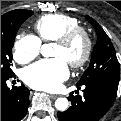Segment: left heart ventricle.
Returning a JSON list of instances; mask_svg holds the SVG:
<instances>
[{"label":"left heart ventricle","instance_id":"left-heart-ventricle-1","mask_svg":"<svg viewBox=\"0 0 121 121\" xmlns=\"http://www.w3.org/2000/svg\"><path fill=\"white\" fill-rule=\"evenodd\" d=\"M85 43L83 38H76L69 46L56 44L54 57H62L67 62L80 58L84 52Z\"/></svg>","mask_w":121,"mask_h":121}]
</instances>
